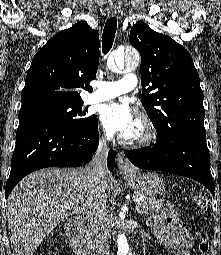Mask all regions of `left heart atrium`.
<instances>
[{
    "label": "left heart atrium",
    "instance_id": "obj_1",
    "mask_svg": "<svg viewBox=\"0 0 221 255\" xmlns=\"http://www.w3.org/2000/svg\"><path fill=\"white\" fill-rule=\"evenodd\" d=\"M100 121L109 135H126L136 123L129 105L118 102H110L102 107Z\"/></svg>",
    "mask_w": 221,
    "mask_h": 255
}]
</instances>
